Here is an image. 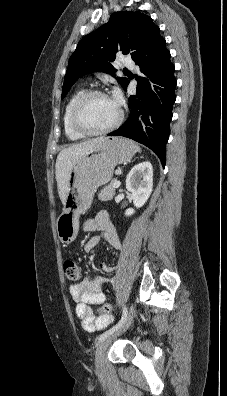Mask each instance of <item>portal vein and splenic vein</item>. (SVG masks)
Wrapping results in <instances>:
<instances>
[{"label": "portal vein and splenic vein", "instance_id": "1", "mask_svg": "<svg viewBox=\"0 0 227 396\" xmlns=\"http://www.w3.org/2000/svg\"><path fill=\"white\" fill-rule=\"evenodd\" d=\"M120 181H116L113 185L114 188H118L120 186Z\"/></svg>", "mask_w": 227, "mask_h": 396}]
</instances>
